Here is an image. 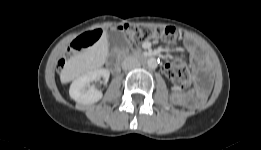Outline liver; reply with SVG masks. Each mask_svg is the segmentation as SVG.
Wrapping results in <instances>:
<instances>
[{
    "mask_svg": "<svg viewBox=\"0 0 261 150\" xmlns=\"http://www.w3.org/2000/svg\"><path fill=\"white\" fill-rule=\"evenodd\" d=\"M108 54L107 37L103 35L92 47L82 54L71 57L66 64V69L61 73L63 79L70 70H76L80 74L99 69L106 61Z\"/></svg>",
    "mask_w": 261,
    "mask_h": 150,
    "instance_id": "1",
    "label": "liver"
}]
</instances>
